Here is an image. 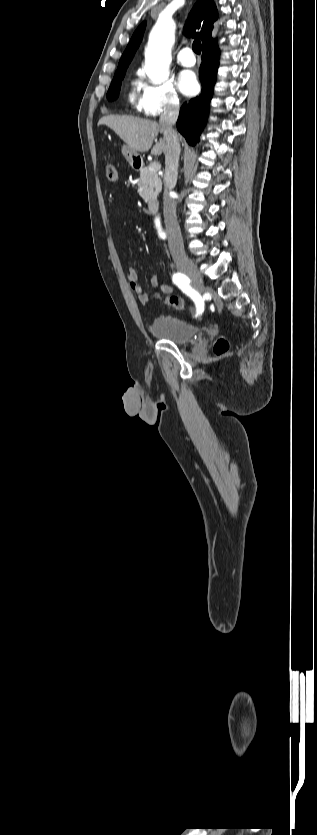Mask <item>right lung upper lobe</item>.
Returning a JSON list of instances; mask_svg holds the SVG:
<instances>
[{"label": "right lung upper lobe", "mask_w": 317, "mask_h": 835, "mask_svg": "<svg viewBox=\"0 0 317 835\" xmlns=\"http://www.w3.org/2000/svg\"><path fill=\"white\" fill-rule=\"evenodd\" d=\"M217 19L218 10L215 3L212 0H198L186 21L184 34L191 37L198 36L203 43H206L212 40V33ZM145 27L146 22H143L134 32L120 59L118 69L128 67L141 43Z\"/></svg>", "instance_id": "1"}]
</instances>
